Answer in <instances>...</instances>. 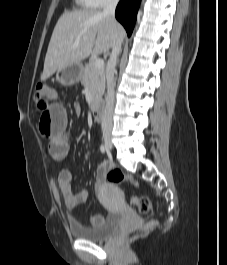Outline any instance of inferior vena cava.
<instances>
[{"instance_id":"602c4592","label":"inferior vena cava","mask_w":227,"mask_h":265,"mask_svg":"<svg viewBox=\"0 0 227 265\" xmlns=\"http://www.w3.org/2000/svg\"><path fill=\"white\" fill-rule=\"evenodd\" d=\"M119 0H107L106 5L103 10V15L110 18L113 22L115 20V9ZM121 43L122 40L116 38L110 58L106 67V80H107V97H106V107L104 116L102 119V130L103 132H111L112 123H113V110H114V102H115V81H114V73L115 67L117 64V57L121 51Z\"/></svg>"}]
</instances>
